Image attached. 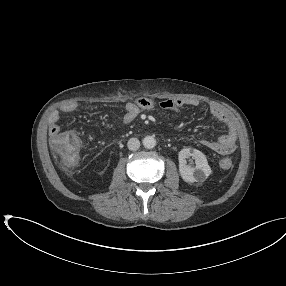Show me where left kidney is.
Here are the masks:
<instances>
[{"label": "left kidney", "mask_w": 286, "mask_h": 286, "mask_svg": "<svg viewBox=\"0 0 286 286\" xmlns=\"http://www.w3.org/2000/svg\"><path fill=\"white\" fill-rule=\"evenodd\" d=\"M192 157L195 161V167L187 165L186 159ZM179 171L185 182H203L211 174V168L206 156L197 149L184 148L179 152Z\"/></svg>", "instance_id": "obj_1"}]
</instances>
